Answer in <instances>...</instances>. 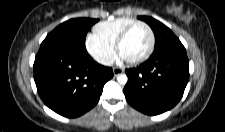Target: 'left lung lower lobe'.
Here are the masks:
<instances>
[{
	"label": "left lung lower lobe",
	"instance_id": "1",
	"mask_svg": "<svg viewBox=\"0 0 225 132\" xmlns=\"http://www.w3.org/2000/svg\"><path fill=\"white\" fill-rule=\"evenodd\" d=\"M125 72L128 82L124 94L128 103L144 114L158 115L182 98L189 79V60L184 47L176 48Z\"/></svg>",
	"mask_w": 225,
	"mask_h": 132
}]
</instances>
